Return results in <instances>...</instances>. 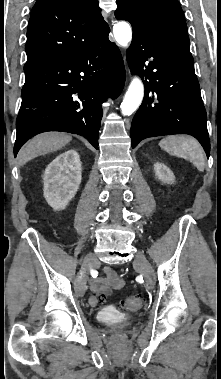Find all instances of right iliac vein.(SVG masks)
Returning <instances> with one entry per match:
<instances>
[{
    "instance_id": "right-iliac-vein-1",
    "label": "right iliac vein",
    "mask_w": 221,
    "mask_h": 379,
    "mask_svg": "<svg viewBox=\"0 0 221 379\" xmlns=\"http://www.w3.org/2000/svg\"><path fill=\"white\" fill-rule=\"evenodd\" d=\"M96 260L97 258L95 254L93 253H89L84 259V263H83L84 273L80 278L77 279L76 284H75V290L79 296H83L85 294L87 273L90 267H92L95 264Z\"/></svg>"
}]
</instances>
